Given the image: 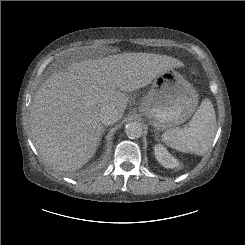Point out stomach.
<instances>
[{
	"label": "stomach",
	"mask_w": 245,
	"mask_h": 245,
	"mask_svg": "<svg viewBox=\"0 0 245 245\" xmlns=\"http://www.w3.org/2000/svg\"><path fill=\"white\" fill-rule=\"evenodd\" d=\"M198 105L194 87L173 68L159 73L139 109L158 131L173 129L187 121Z\"/></svg>",
	"instance_id": "stomach-1"
}]
</instances>
